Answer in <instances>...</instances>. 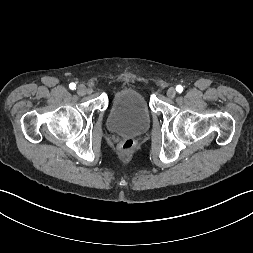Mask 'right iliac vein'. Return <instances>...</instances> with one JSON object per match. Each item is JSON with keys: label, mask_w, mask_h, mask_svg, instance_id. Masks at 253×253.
<instances>
[{"label": "right iliac vein", "mask_w": 253, "mask_h": 253, "mask_svg": "<svg viewBox=\"0 0 253 253\" xmlns=\"http://www.w3.org/2000/svg\"><path fill=\"white\" fill-rule=\"evenodd\" d=\"M77 93L80 95V96H84L86 93H87V88L85 85L81 84L77 87Z\"/></svg>", "instance_id": "right-iliac-vein-1"}]
</instances>
